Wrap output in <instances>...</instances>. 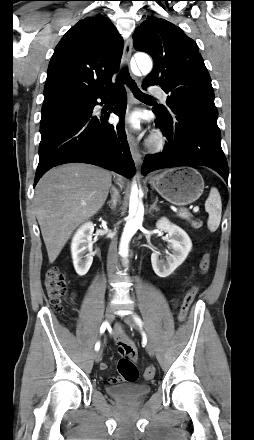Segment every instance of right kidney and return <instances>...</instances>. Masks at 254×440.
Returning <instances> with one entry per match:
<instances>
[{"mask_svg": "<svg viewBox=\"0 0 254 440\" xmlns=\"http://www.w3.org/2000/svg\"><path fill=\"white\" fill-rule=\"evenodd\" d=\"M94 225L92 222L84 223L75 233L71 243L73 265L79 276L85 275L93 262L92 234ZM89 252V253H87Z\"/></svg>", "mask_w": 254, "mask_h": 440, "instance_id": "right-kidney-1", "label": "right kidney"}]
</instances>
